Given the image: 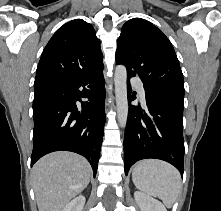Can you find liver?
I'll return each mask as SVG.
<instances>
[{"label": "liver", "mask_w": 221, "mask_h": 211, "mask_svg": "<svg viewBox=\"0 0 221 211\" xmlns=\"http://www.w3.org/2000/svg\"><path fill=\"white\" fill-rule=\"evenodd\" d=\"M88 161L71 152H53L32 168L33 188L39 211H62L89 184Z\"/></svg>", "instance_id": "1"}]
</instances>
